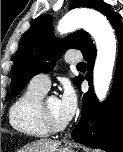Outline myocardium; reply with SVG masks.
Returning a JSON list of instances; mask_svg holds the SVG:
<instances>
[{"label":"myocardium","instance_id":"myocardium-1","mask_svg":"<svg viewBox=\"0 0 123 152\" xmlns=\"http://www.w3.org/2000/svg\"><path fill=\"white\" fill-rule=\"evenodd\" d=\"M48 98L50 97H47L46 99L41 100L40 106H39L42 122L44 126L46 127V129L51 133H57V132L63 131L67 127L68 122L66 121L57 122L52 118V116L50 115L46 107V101L48 100Z\"/></svg>","mask_w":123,"mask_h":152}]
</instances>
